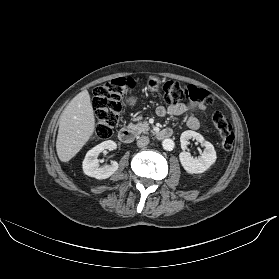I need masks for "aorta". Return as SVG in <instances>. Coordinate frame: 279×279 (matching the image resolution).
Masks as SVG:
<instances>
[{
    "mask_svg": "<svg viewBox=\"0 0 279 279\" xmlns=\"http://www.w3.org/2000/svg\"><path fill=\"white\" fill-rule=\"evenodd\" d=\"M162 146L165 150L171 151L174 148V142L172 139L167 138L162 141Z\"/></svg>",
    "mask_w": 279,
    "mask_h": 279,
    "instance_id": "obj_1",
    "label": "aorta"
}]
</instances>
